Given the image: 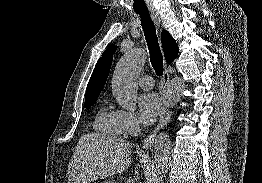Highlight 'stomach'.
Wrapping results in <instances>:
<instances>
[{
    "instance_id": "1",
    "label": "stomach",
    "mask_w": 262,
    "mask_h": 183,
    "mask_svg": "<svg viewBox=\"0 0 262 183\" xmlns=\"http://www.w3.org/2000/svg\"><path fill=\"white\" fill-rule=\"evenodd\" d=\"M112 182H114V181H105V182H103V183H112Z\"/></svg>"
}]
</instances>
